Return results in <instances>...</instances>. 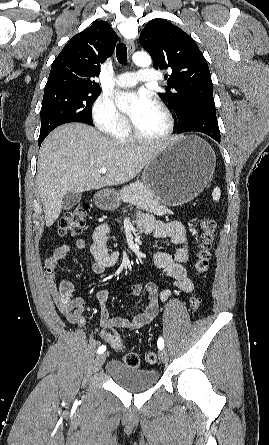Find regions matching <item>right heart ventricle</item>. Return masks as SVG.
<instances>
[{
    "label": "right heart ventricle",
    "instance_id": "obj_1",
    "mask_svg": "<svg viewBox=\"0 0 269 445\" xmlns=\"http://www.w3.org/2000/svg\"><path fill=\"white\" fill-rule=\"evenodd\" d=\"M114 138L121 143H129L132 140L128 129L119 134L114 135Z\"/></svg>",
    "mask_w": 269,
    "mask_h": 445
}]
</instances>
